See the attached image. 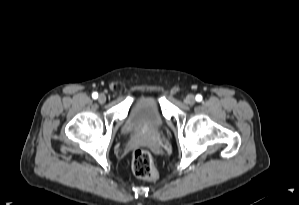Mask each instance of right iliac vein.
<instances>
[{
	"mask_svg": "<svg viewBox=\"0 0 299 205\" xmlns=\"http://www.w3.org/2000/svg\"><path fill=\"white\" fill-rule=\"evenodd\" d=\"M98 101L101 104L105 103L106 102V96H105V94H100L99 97H98Z\"/></svg>",
	"mask_w": 299,
	"mask_h": 205,
	"instance_id": "1",
	"label": "right iliac vein"
}]
</instances>
